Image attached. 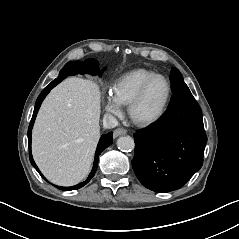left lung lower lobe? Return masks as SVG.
I'll list each match as a JSON object with an SVG mask.
<instances>
[{
	"label": "left lung lower lobe",
	"instance_id": "obj_1",
	"mask_svg": "<svg viewBox=\"0 0 239 239\" xmlns=\"http://www.w3.org/2000/svg\"><path fill=\"white\" fill-rule=\"evenodd\" d=\"M134 172L143 186L169 192L202 167L207 142L202 111L189 88L174 91L167 111L152 127L134 134Z\"/></svg>",
	"mask_w": 239,
	"mask_h": 239
}]
</instances>
